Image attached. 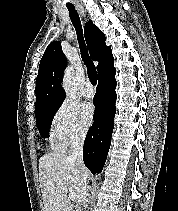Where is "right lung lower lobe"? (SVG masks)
Wrapping results in <instances>:
<instances>
[{
    "label": "right lung lower lobe",
    "mask_w": 178,
    "mask_h": 211,
    "mask_svg": "<svg viewBox=\"0 0 178 211\" xmlns=\"http://www.w3.org/2000/svg\"><path fill=\"white\" fill-rule=\"evenodd\" d=\"M116 71L98 78L97 92L94 96L95 120L84 141V164L93 173H100L110 148L116 112Z\"/></svg>",
    "instance_id": "98d812e1"
}]
</instances>
